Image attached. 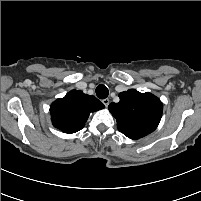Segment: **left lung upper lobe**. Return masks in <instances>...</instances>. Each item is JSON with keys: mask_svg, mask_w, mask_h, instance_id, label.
<instances>
[{"mask_svg": "<svg viewBox=\"0 0 201 201\" xmlns=\"http://www.w3.org/2000/svg\"><path fill=\"white\" fill-rule=\"evenodd\" d=\"M120 101L111 103L109 111L117 120V128L130 139H140L153 132L162 117L163 105L151 93L135 89L121 92Z\"/></svg>", "mask_w": 201, "mask_h": 201, "instance_id": "1", "label": "left lung upper lobe"}]
</instances>
